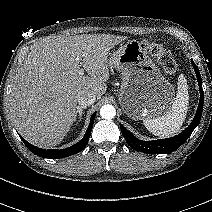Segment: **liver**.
I'll return each mask as SVG.
<instances>
[{
	"instance_id": "liver-1",
	"label": "liver",
	"mask_w": 212,
	"mask_h": 212,
	"mask_svg": "<svg viewBox=\"0 0 212 212\" xmlns=\"http://www.w3.org/2000/svg\"><path fill=\"white\" fill-rule=\"evenodd\" d=\"M125 39L58 35L37 44L18 69L11 92L10 112L19 133L38 147L58 145L75 119L78 94L100 98L106 92L108 53ZM82 67L88 75L79 74Z\"/></svg>"
}]
</instances>
